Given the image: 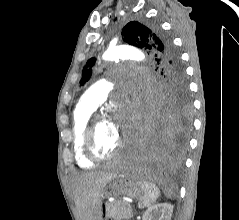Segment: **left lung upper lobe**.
I'll list each match as a JSON object with an SVG mask.
<instances>
[{
    "label": "left lung upper lobe",
    "mask_w": 239,
    "mask_h": 220,
    "mask_svg": "<svg viewBox=\"0 0 239 220\" xmlns=\"http://www.w3.org/2000/svg\"><path fill=\"white\" fill-rule=\"evenodd\" d=\"M123 40L130 45L145 50L155 57V61L162 67L161 74L166 78V84L159 92V107L166 108L173 118L175 125L187 129L190 123L191 101L185 81L184 70L178 55L172 47L171 41L155 24L149 26L139 22H129L121 32ZM95 58H91L83 68L80 84L90 79Z\"/></svg>",
    "instance_id": "left-lung-upper-lobe-1"
}]
</instances>
